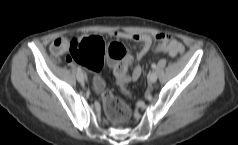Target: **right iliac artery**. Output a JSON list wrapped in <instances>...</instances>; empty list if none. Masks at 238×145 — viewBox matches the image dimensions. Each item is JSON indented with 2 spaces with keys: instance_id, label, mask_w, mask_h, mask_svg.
<instances>
[{
  "instance_id": "82829eb1",
  "label": "right iliac artery",
  "mask_w": 238,
  "mask_h": 145,
  "mask_svg": "<svg viewBox=\"0 0 238 145\" xmlns=\"http://www.w3.org/2000/svg\"><path fill=\"white\" fill-rule=\"evenodd\" d=\"M77 71H78V73H79V72H81L82 70H81V68H80V67H78V68H77Z\"/></svg>"
}]
</instances>
